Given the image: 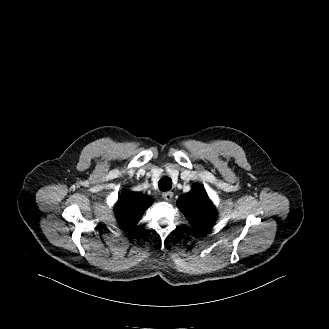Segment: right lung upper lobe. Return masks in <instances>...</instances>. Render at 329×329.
Returning a JSON list of instances; mask_svg holds the SVG:
<instances>
[{
  "label": "right lung upper lobe",
  "instance_id": "right-lung-upper-lobe-1",
  "mask_svg": "<svg viewBox=\"0 0 329 329\" xmlns=\"http://www.w3.org/2000/svg\"><path fill=\"white\" fill-rule=\"evenodd\" d=\"M149 196L138 192L122 191L115 205L119 225L131 230L141 219L144 211L152 204Z\"/></svg>",
  "mask_w": 329,
  "mask_h": 329
}]
</instances>
